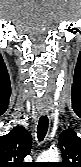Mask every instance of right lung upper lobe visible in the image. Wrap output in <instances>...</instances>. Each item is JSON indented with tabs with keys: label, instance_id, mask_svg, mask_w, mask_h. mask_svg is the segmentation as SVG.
<instances>
[{
	"label": "right lung upper lobe",
	"instance_id": "right-lung-upper-lobe-1",
	"mask_svg": "<svg viewBox=\"0 0 81 167\" xmlns=\"http://www.w3.org/2000/svg\"><path fill=\"white\" fill-rule=\"evenodd\" d=\"M32 136L23 126H17L0 136V167H28L23 159L30 153Z\"/></svg>",
	"mask_w": 81,
	"mask_h": 167
}]
</instances>
